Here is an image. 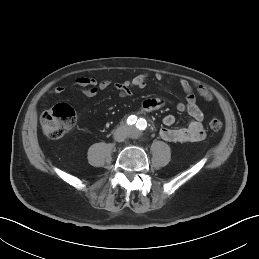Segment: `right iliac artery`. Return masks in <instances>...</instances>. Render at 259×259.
<instances>
[{
    "mask_svg": "<svg viewBox=\"0 0 259 259\" xmlns=\"http://www.w3.org/2000/svg\"><path fill=\"white\" fill-rule=\"evenodd\" d=\"M136 120H137V117L134 116V115H132V116H130V117L128 118L127 123H128V124H134V123L136 122Z\"/></svg>",
    "mask_w": 259,
    "mask_h": 259,
    "instance_id": "obj_1",
    "label": "right iliac artery"
}]
</instances>
